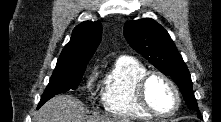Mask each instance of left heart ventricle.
<instances>
[{"mask_svg":"<svg viewBox=\"0 0 221 122\" xmlns=\"http://www.w3.org/2000/svg\"><path fill=\"white\" fill-rule=\"evenodd\" d=\"M150 105L159 113H169L175 107V96L170 86L161 78L154 77L147 86Z\"/></svg>","mask_w":221,"mask_h":122,"instance_id":"1","label":"left heart ventricle"}]
</instances>
